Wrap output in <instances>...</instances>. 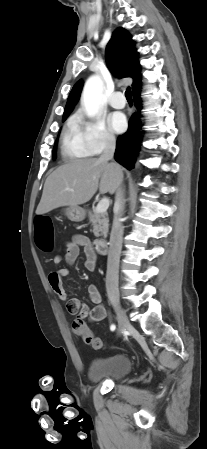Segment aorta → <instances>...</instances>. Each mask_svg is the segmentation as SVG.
<instances>
[{
    "instance_id": "obj_1",
    "label": "aorta",
    "mask_w": 207,
    "mask_h": 449,
    "mask_svg": "<svg viewBox=\"0 0 207 449\" xmlns=\"http://www.w3.org/2000/svg\"><path fill=\"white\" fill-rule=\"evenodd\" d=\"M103 82L97 75L91 76L85 83L82 102L89 117H94L102 104Z\"/></svg>"
}]
</instances>
